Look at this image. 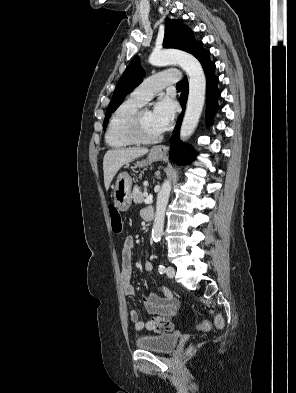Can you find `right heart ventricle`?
<instances>
[{
	"label": "right heart ventricle",
	"instance_id": "1",
	"mask_svg": "<svg viewBox=\"0 0 296 393\" xmlns=\"http://www.w3.org/2000/svg\"><path fill=\"white\" fill-rule=\"evenodd\" d=\"M141 105L127 99L112 113L105 133V141L113 149L127 148L134 143L127 137V125Z\"/></svg>",
	"mask_w": 296,
	"mask_h": 393
}]
</instances>
